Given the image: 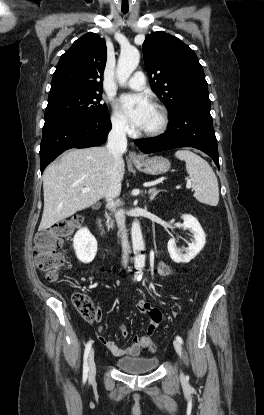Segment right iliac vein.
Instances as JSON below:
<instances>
[{"label":"right iliac vein","instance_id":"63e3f726","mask_svg":"<svg viewBox=\"0 0 264 415\" xmlns=\"http://www.w3.org/2000/svg\"><path fill=\"white\" fill-rule=\"evenodd\" d=\"M96 374V363L94 357V350H91L89 355V379L93 380Z\"/></svg>","mask_w":264,"mask_h":415}]
</instances>
